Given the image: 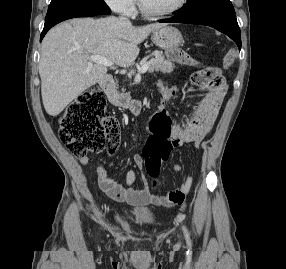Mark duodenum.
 I'll return each mask as SVG.
<instances>
[{
  "label": "duodenum",
  "mask_w": 286,
  "mask_h": 269,
  "mask_svg": "<svg viewBox=\"0 0 286 269\" xmlns=\"http://www.w3.org/2000/svg\"><path fill=\"white\" fill-rule=\"evenodd\" d=\"M100 86L104 90L109 103L113 107L126 108L134 114L140 113L142 108L141 103L130 101L126 97L119 95L116 91L115 82L111 75L105 74L100 81Z\"/></svg>",
  "instance_id": "410a0bca"
}]
</instances>
